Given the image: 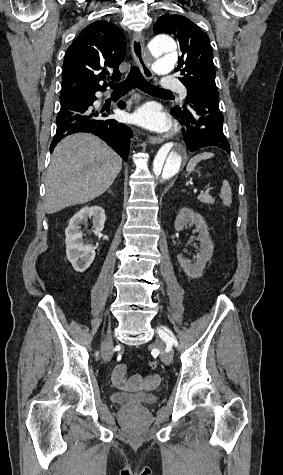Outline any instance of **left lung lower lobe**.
<instances>
[{"instance_id": "1", "label": "left lung lower lobe", "mask_w": 283, "mask_h": 475, "mask_svg": "<svg viewBox=\"0 0 283 475\" xmlns=\"http://www.w3.org/2000/svg\"><path fill=\"white\" fill-rule=\"evenodd\" d=\"M218 100V94L193 92L189 96L188 106L171 109L185 127L184 141L188 151L216 146L229 153L230 145L223 134V115Z\"/></svg>"}]
</instances>
